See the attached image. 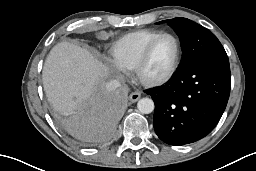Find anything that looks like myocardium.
<instances>
[{"mask_svg": "<svg viewBox=\"0 0 256 171\" xmlns=\"http://www.w3.org/2000/svg\"><path fill=\"white\" fill-rule=\"evenodd\" d=\"M164 37H170L174 40L176 45V53L173 60V63L169 69V71L156 79H147L143 76V69L147 63V61L150 58V55L152 53V50L154 46L157 44L159 40H161ZM181 59V45L179 39L172 33L163 32L156 37H154L149 43L145 46L143 52L141 53L139 59L137 60L133 70L135 79L143 86L145 87H158L165 83H167L176 73Z\"/></svg>", "mask_w": 256, "mask_h": 171, "instance_id": "myocardium-1", "label": "myocardium"}]
</instances>
